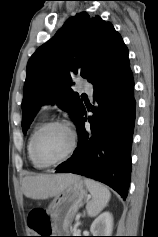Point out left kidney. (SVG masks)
<instances>
[{
	"label": "left kidney",
	"instance_id": "5707ae66",
	"mask_svg": "<svg viewBox=\"0 0 158 237\" xmlns=\"http://www.w3.org/2000/svg\"><path fill=\"white\" fill-rule=\"evenodd\" d=\"M113 229V217L109 212L99 215L90 227L93 236H111Z\"/></svg>",
	"mask_w": 158,
	"mask_h": 237
}]
</instances>
